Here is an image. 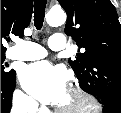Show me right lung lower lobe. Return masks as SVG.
<instances>
[{"label": "right lung lower lobe", "instance_id": "obj_1", "mask_svg": "<svg viewBox=\"0 0 121 113\" xmlns=\"http://www.w3.org/2000/svg\"><path fill=\"white\" fill-rule=\"evenodd\" d=\"M15 71L1 77V113H9L12 102V93L15 89Z\"/></svg>", "mask_w": 121, "mask_h": 113}]
</instances>
